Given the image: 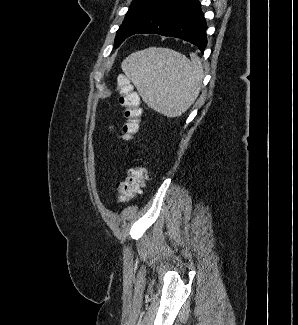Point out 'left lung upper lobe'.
<instances>
[{"label": "left lung upper lobe", "mask_w": 298, "mask_h": 325, "mask_svg": "<svg viewBox=\"0 0 298 325\" xmlns=\"http://www.w3.org/2000/svg\"><path fill=\"white\" fill-rule=\"evenodd\" d=\"M162 0H134L126 17L117 31L115 46L118 47L130 34L131 30Z\"/></svg>", "instance_id": "5c2ea615"}]
</instances>
